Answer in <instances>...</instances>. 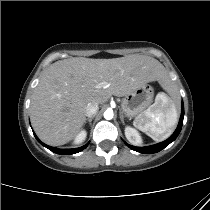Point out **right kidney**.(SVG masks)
<instances>
[{
    "label": "right kidney",
    "mask_w": 210,
    "mask_h": 210,
    "mask_svg": "<svg viewBox=\"0 0 210 210\" xmlns=\"http://www.w3.org/2000/svg\"><path fill=\"white\" fill-rule=\"evenodd\" d=\"M86 137H87V132L85 130L79 131L74 138V144H80L84 142Z\"/></svg>",
    "instance_id": "right-kidney-1"
}]
</instances>
